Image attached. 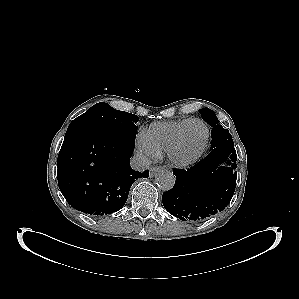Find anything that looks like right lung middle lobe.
Segmentation results:
<instances>
[{"instance_id":"obj_1","label":"right lung middle lobe","mask_w":299,"mask_h":299,"mask_svg":"<svg viewBox=\"0 0 299 299\" xmlns=\"http://www.w3.org/2000/svg\"><path fill=\"white\" fill-rule=\"evenodd\" d=\"M138 120V116L134 114L118 111L109 104L100 102L74 119L66 133L98 130L136 131L137 126L135 124Z\"/></svg>"}]
</instances>
